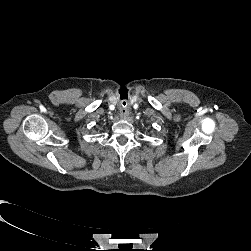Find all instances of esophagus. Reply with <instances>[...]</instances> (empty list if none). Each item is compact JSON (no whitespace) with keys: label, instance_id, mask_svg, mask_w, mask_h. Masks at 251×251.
I'll list each match as a JSON object with an SVG mask.
<instances>
[{"label":"esophagus","instance_id":"1","mask_svg":"<svg viewBox=\"0 0 251 251\" xmlns=\"http://www.w3.org/2000/svg\"><path fill=\"white\" fill-rule=\"evenodd\" d=\"M120 117H121L122 119H125V118H127V115L124 114L123 111H122V112H120Z\"/></svg>","mask_w":251,"mask_h":251}]
</instances>
